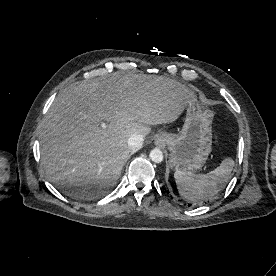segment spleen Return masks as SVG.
I'll return each mask as SVG.
<instances>
[{"instance_id":"obj_1","label":"spleen","mask_w":276,"mask_h":276,"mask_svg":"<svg viewBox=\"0 0 276 276\" xmlns=\"http://www.w3.org/2000/svg\"><path fill=\"white\" fill-rule=\"evenodd\" d=\"M234 165L232 158H225L220 166L207 174L175 171L174 179L179 194L189 201L211 198L226 186Z\"/></svg>"}]
</instances>
